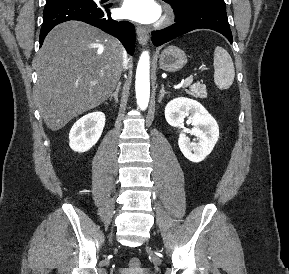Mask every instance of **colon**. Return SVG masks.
I'll list each match as a JSON object with an SVG mask.
<instances>
[{"label": "colon", "instance_id": "obj_1", "mask_svg": "<svg viewBox=\"0 0 289 274\" xmlns=\"http://www.w3.org/2000/svg\"><path fill=\"white\" fill-rule=\"evenodd\" d=\"M140 269V261L137 258H132L129 261L128 270L130 271H137Z\"/></svg>", "mask_w": 289, "mask_h": 274}]
</instances>
